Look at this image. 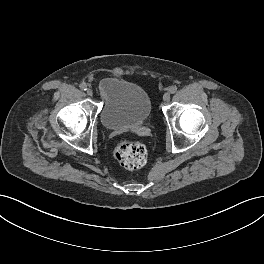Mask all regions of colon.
<instances>
[{
    "label": "colon",
    "instance_id": "colon-1",
    "mask_svg": "<svg viewBox=\"0 0 264 264\" xmlns=\"http://www.w3.org/2000/svg\"><path fill=\"white\" fill-rule=\"evenodd\" d=\"M146 147L136 141L123 140L114 149V156L118 163L127 170L142 168L147 162Z\"/></svg>",
    "mask_w": 264,
    "mask_h": 264
}]
</instances>
